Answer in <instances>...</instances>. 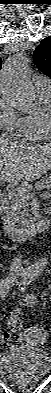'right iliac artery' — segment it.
<instances>
[{"label": "right iliac artery", "mask_w": 51, "mask_h": 393, "mask_svg": "<svg viewBox=\"0 0 51 393\" xmlns=\"http://www.w3.org/2000/svg\"><path fill=\"white\" fill-rule=\"evenodd\" d=\"M28 275V272L20 273L17 276H8L4 279H2L0 283V296L2 299H5L8 291L12 285L13 282H16L20 277H26Z\"/></svg>", "instance_id": "obj_1"}]
</instances>
